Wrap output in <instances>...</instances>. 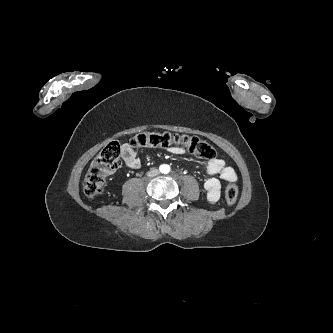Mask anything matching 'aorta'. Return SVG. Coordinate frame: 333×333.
Listing matches in <instances>:
<instances>
[{
    "mask_svg": "<svg viewBox=\"0 0 333 333\" xmlns=\"http://www.w3.org/2000/svg\"><path fill=\"white\" fill-rule=\"evenodd\" d=\"M165 173H168L169 171H170V168L168 167V168H165L164 170H163Z\"/></svg>",
    "mask_w": 333,
    "mask_h": 333,
    "instance_id": "aorta-1",
    "label": "aorta"
}]
</instances>
